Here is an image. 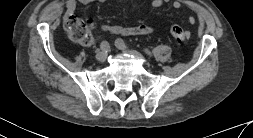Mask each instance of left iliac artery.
Segmentation results:
<instances>
[{
	"label": "left iliac artery",
	"instance_id": "44dca946",
	"mask_svg": "<svg viewBox=\"0 0 253 138\" xmlns=\"http://www.w3.org/2000/svg\"><path fill=\"white\" fill-rule=\"evenodd\" d=\"M115 43H116L117 47L120 48V49H125V48H127L126 43H125L122 39H120V38L117 39V40L115 41ZM143 51H144L147 55H149L150 57L152 56V53H151V51H150L149 49L144 48Z\"/></svg>",
	"mask_w": 253,
	"mask_h": 138
}]
</instances>
